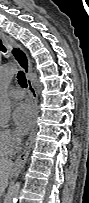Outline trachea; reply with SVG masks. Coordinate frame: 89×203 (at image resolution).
<instances>
[{"mask_svg": "<svg viewBox=\"0 0 89 203\" xmlns=\"http://www.w3.org/2000/svg\"><path fill=\"white\" fill-rule=\"evenodd\" d=\"M0 50L3 52H6V48L2 44V41H0ZM17 79H18V82L21 85V87H23V88L27 87V80H26V77H25V74L23 71L18 72Z\"/></svg>", "mask_w": 89, "mask_h": 203, "instance_id": "obj_1", "label": "trachea"}]
</instances>
